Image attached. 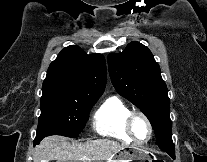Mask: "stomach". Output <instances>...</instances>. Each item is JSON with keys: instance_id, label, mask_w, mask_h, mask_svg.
I'll return each mask as SVG.
<instances>
[{"instance_id": "obj_1", "label": "stomach", "mask_w": 207, "mask_h": 162, "mask_svg": "<svg viewBox=\"0 0 207 162\" xmlns=\"http://www.w3.org/2000/svg\"><path fill=\"white\" fill-rule=\"evenodd\" d=\"M134 160H157V159L152 157L145 150L133 148V147H126L121 151H119L118 153H116L112 160H109L107 162H132Z\"/></svg>"}]
</instances>
